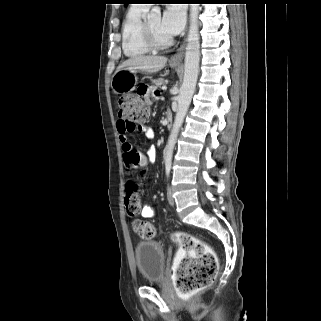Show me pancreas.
<instances>
[{
    "label": "pancreas",
    "mask_w": 321,
    "mask_h": 321,
    "mask_svg": "<svg viewBox=\"0 0 321 321\" xmlns=\"http://www.w3.org/2000/svg\"><path fill=\"white\" fill-rule=\"evenodd\" d=\"M165 83V80L163 78L155 79L153 81L154 86L153 89H156L157 87H161Z\"/></svg>",
    "instance_id": "cf45deb5"
}]
</instances>
